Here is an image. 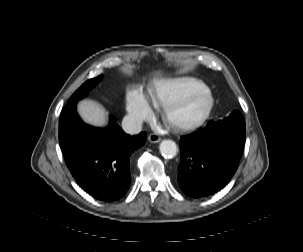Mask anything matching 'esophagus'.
<instances>
[{"mask_svg":"<svg viewBox=\"0 0 303 252\" xmlns=\"http://www.w3.org/2000/svg\"><path fill=\"white\" fill-rule=\"evenodd\" d=\"M148 140L151 142V143H158L160 140H161V137L156 134V133H151L149 136H148Z\"/></svg>","mask_w":303,"mask_h":252,"instance_id":"1","label":"esophagus"}]
</instances>
